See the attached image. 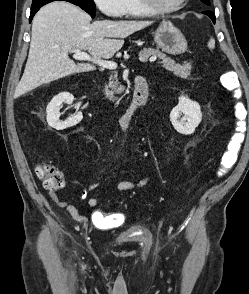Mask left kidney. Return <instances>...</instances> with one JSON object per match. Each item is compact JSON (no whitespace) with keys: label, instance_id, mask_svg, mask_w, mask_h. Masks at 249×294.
<instances>
[{"label":"left kidney","instance_id":"left-kidney-1","mask_svg":"<svg viewBox=\"0 0 249 294\" xmlns=\"http://www.w3.org/2000/svg\"><path fill=\"white\" fill-rule=\"evenodd\" d=\"M201 120L202 112L199 103L187 96H180L178 105L170 113V121L174 129L178 133L190 135L194 133Z\"/></svg>","mask_w":249,"mask_h":294}]
</instances>
